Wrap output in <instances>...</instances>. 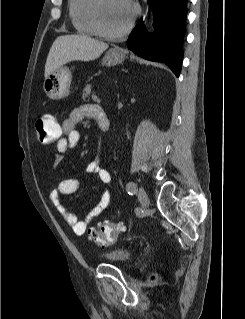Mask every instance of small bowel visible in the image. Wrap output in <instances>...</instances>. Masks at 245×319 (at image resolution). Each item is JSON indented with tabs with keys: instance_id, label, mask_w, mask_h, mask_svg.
I'll return each mask as SVG.
<instances>
[{
	"instance_id": "obj_1",
	"label": "small bowel",
	"mask_w": 245,
	"mask_h": 319,
	"mask_svg": "<svg viewBox=\"0 0 245 319\" xmlns=\"http://www.w3.org/2000/svg\"><path fill=\"white\" fill-rule=\"evenodd\" d=\"M103 112L102 108L95 104H85L74 109L68 118L62 122V137L56 145L57 153L54 157V166L57 167L62 159L63 154L75 148L81 141V135L76 126L86 118L97 120L99 114ZM89 172L98 177L99 181L105 185L111 183L110 173L95 161L89 166ZM80 186V181L76 178H67L61 180L55 188L50 192V200L54 205L61 218L71 227L76 235H83L89 223L99 216L110 205L112 195L109 190H105L97 202V204L82 219L78 220L75 215L61 202L62 195H70L75 193Z\"/></svg>"
}]
</instances>
